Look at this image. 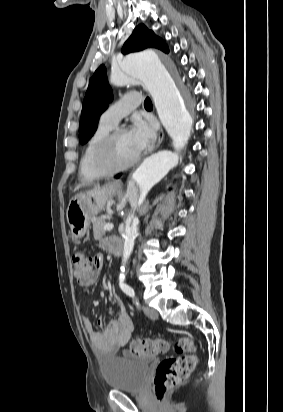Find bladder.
<instances>
[{
	"instance_id": "1",
	"label": "bladder",
	"mask_w": 283,
	"mask_h": 412,
	"mask_svg": "<svg viewBox=\"0 0 283 412\" xmlns=\"http://www.w3.org/2000/svg\"><path fill=\"white\" fill-rule=\"evenodd\" d=\"M149 364L138 360L110 358L101 362V376L112 390L139 392L145 387Z\"/></svg>"
}]
</instances>
